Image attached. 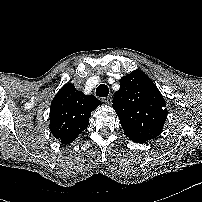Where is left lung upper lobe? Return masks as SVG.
Instances as JSON below:
<instances>
[{
  "label": "left lung upper lobe",
  "mask_w": 202,
  "mask_h": 202,
  "mask_svg": "<svg viewBox=\"0 0 202 202\" xmlns=\"http://www.w3.org/2000/svg\"><path fill=\"white\" fill-rule=\"evenodd\" d=\"M166 104L152 80L141 70L120 79L113 108L132 141L146 142L160 135L167 118Z\"/></svg>",
  "instance_id": "5c2ea615"
}]
</instances>
